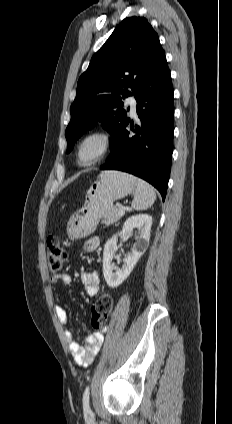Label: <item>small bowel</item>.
<instances>
[{"mask_svg": "<svg viewBox=\"0 0 232 424\" xmlns=\"http://www.w3.org/2000/svg\"><path fill=\"white\" fill-rule=\"evenodd\" d=\"M99 244L100 241L97 237H91L84 242L83 250L88 253L94 252L98 249ZM80 278L89 297H94L99 293L100 278L96 271L82 272ZM53 282L56 285L66 287L70 285L71 279L66 274H55L53 276ZM54 310L58 321L61 324L66 325L69 321L68 311L60 305H56ZM104 331L105 329L102 332L88 335L85 339V345L81 346L73 332L70 329H65L64 335L68 349L76 364L86 367L93 362L103 343Z\"/></svg>", "mask_w": 232, "mask_h": 424, "instance_id": "small-bowel-1", "label": "small bowel"}]
</instances>
